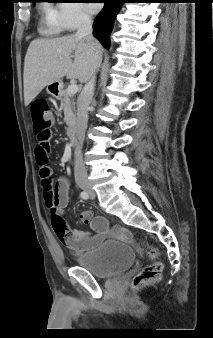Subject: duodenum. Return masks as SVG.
<instances>
[{"mask_svg":"<svg viewBox=\"0 0 213 338\" xmlns=\"http://www.w3.org/2000/svg\"><path fill=\"white\" fill-rule=\"evenodd\" d=\"M75 132H76V125H72L71 127H70V134L72 135V136H74L75 135Z\"/></svg>","mask_w":213,"mask_h":338,"instance_id":"obj_1","label":"duodenum"}]
</instances>
